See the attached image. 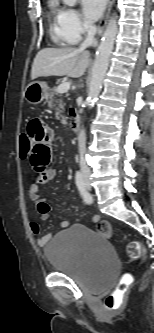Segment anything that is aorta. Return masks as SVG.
Here are the masks:
<instances>
[{
	"label": "aorta",
	"instance_id": "obj_1",
	"mask_svg": "<svg viewBox=\"0 0 154 333\" xmlns=\"http://www.w3.org/2000/svg\"><path fill=\"white\" fill-rule=\"evenodd\" d=\"M63 2L68 6H74L77 0H63ZM117 34V20L116 17L112 16L108 21L106 29L104 31L103 37L101 39L100 45L96 51L95 61L92 68V76L89 84L87 105L91 109L97 97L102 89L103 80L105 78L109 59L112 53L115 37Z\"/></svg>",
	"mask_w": 154,
	"mask_h": 333
}]
</instances>
